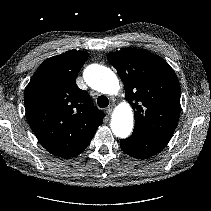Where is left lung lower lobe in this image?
Here are the masks:
<instances>
[{
  "instance_id": "left-lung-lower-lobe-1",
  "label": "left lung lower lobe",
  "mask_w": 211,
  "mask_h": 211,
  "mask_svg": "<svg viewBox=\"0 0 211 211\" xmlns=\"http://www.w3.org/2000/svg\"><path fill=\"white\" fill-rule=\"evenodd\" d=\"M171 137L133 132L129 138L120 140V146L126 154L134 158L146 159L160 152Z\"/></svg>"
}]
</instances>
